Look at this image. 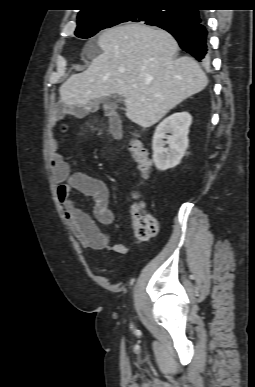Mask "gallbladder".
Segmentation results:
<instances>
[{"label": "gallbladder", "instance_id": "bac80fb5", "mask_svg": "<svg viewBox=\"0 0 255 387\" xmlns=\"http://www.w3.org/2000/svg\"><path fill=\"white\" fill-rule=\"evenodd\" d=\"M113 100L110 98V97H105V98H101L99 100L100 103H102L105 107L109 106V105H115L117 102L120 101L119 97L114 95L113 96Z\"/></svg>", "mask_w": 255, "mask_h": 387}]
</instances>
